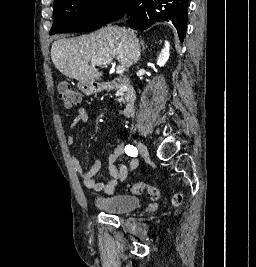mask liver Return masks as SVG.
Segmentation results:
<instances>
[{
    "label": "liver",
    "mask_w": 256,
    "mask_h": 267,
    "mask_svg": "<svg viewBox=\"0 0 256 267\" xmlns=\"http://www.w3.org/2000/svg\"><path fill=\"white\" fill-rule=\"evenodd\" d=\"M135 40L137 38L133 30L105 26L89 36L53 42L51 58L55 68L60 70L61 74L74 78L82 84H90L95 80H101L104 76L103 72L95 68L97 64L89 66L91 60L110 62L116 58L120 66L130 68L133 62L131 46Z\"/></svg>",
    "instance_id": "1"
}]
</instances>
